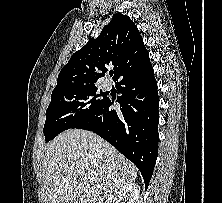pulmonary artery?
<instances>
[{"label":"pulmonary artery","instance_id":"obj_1","mask_svg":"<svg viewBox=\"0 0 222 203\" xmlns=\"http://www.w3.org/2000/svg\"><path fill=\"white\" fill-rule=\"evenodd\" d=\"M110 85H111V84H110V81H109V80H105L104 83H103V86H104L105 88H107V89L110 88Z\"/></svg>","mask_w":222,"mask_h":203}]
</instances>
